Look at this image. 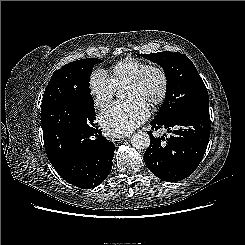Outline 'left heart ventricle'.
<instances>
[{
  "mask_svg": "<svg viewBox=\"0 0 245 245\" xmlns=\"http://www.w3.org/2000/svg\"><path fill=\"white\" fill-rule=\"evenodd\" d=\"M160 88V77L157 73L152 72L140 86H126L124 88V98L129 99L132 97H138L146 103H149L152 98L158 95Z\"/></svg>",
  "mask_w": 245,
  "mask_h": 245,
  "instance_id": "obj_1",
  "label": "left heart ventricle"
}]
</instances>
